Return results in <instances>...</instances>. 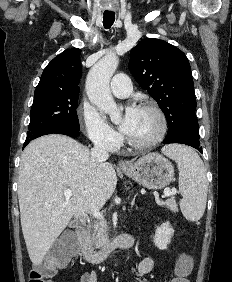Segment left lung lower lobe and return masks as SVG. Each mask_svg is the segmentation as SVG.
<instances>
[{
	"mask_svg": "<svg viewBox=\"0 0 232 282\" xmlns=\"http://www.w3.org/2000/svg\"><path fill=\"white\" fill-rule=\"evenodd\" d=\"M164 144L170 143H181L192 146L198 149L202 153V147H200L199 141V131H193L189 129H181L174 127L173 125L169 126L168 134L164 139Z\"/></svg>",
	"mask_w": 232,
	"mask_h": 282,
	"instance_id": "obj_1",
	"label": "left lung lower lobe"
}]
</instances>
